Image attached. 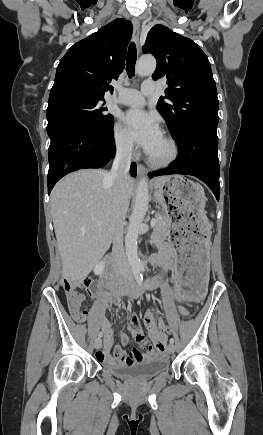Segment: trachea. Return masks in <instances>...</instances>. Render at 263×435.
<instances>
[{"mask_svg": "<svg viewBox=\"0 0 263 435\" xmlns=\"http://www.w3.org/2000/svg\"><path fill=\"white\" fill-rule=\"evenodd\" d=\"M137 60V52H136V46L132 42L129 45L128 54H127V60H126V71L128 74V77L131 78L135 74V64Z\"/></svg>", "mask_w": 263, "mask_h": 435, "instance_id": "trachea-1", "label": "trachea"}]
</instances>
